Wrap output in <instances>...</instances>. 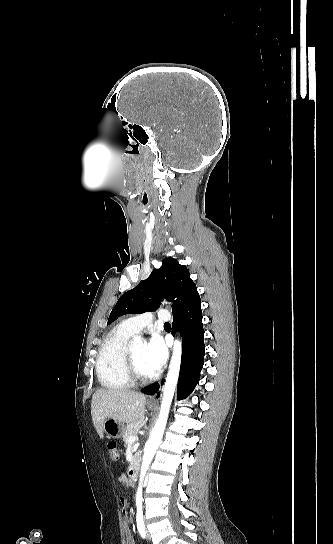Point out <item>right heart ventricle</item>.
Returning <instances> with one entry per match:
<instances>
[{"mask_svg":"<svg viewBox=\"0 0 333 544\" xmlns=\"http://www.w3.org/2000/svg\"><path fill=\"white\" fill-rule=\"evenodd\" d=\"M132 335L119 325L104 338L96 361V374L103 387L121 390L132 386L125 365L127 341Z\"/></svg>","mask_w":333,"mask_h":544,"instance_id":"obj_1","label":"right heart ventricle"}]
</instances>
